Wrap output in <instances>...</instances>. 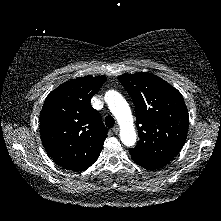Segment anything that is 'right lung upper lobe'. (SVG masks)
<instances>
[{
	"label": "right lung upper lobe",
	"mask_w": 221,
	"mask_h": 221,
	"mask_svg": "<svg viewBox=\"0 0 221 221\" xmlns=\"http://www.w3.org/2000/svg\"><path fill=\"white\" fill-rule=\"evenodd\" d=\"M105 81L104 76L72 79L51 91L43 104L40 113L43 146L65 169H86L100 155L107 129L90 100Z\"/></svg>",
	"instance_id": "cb5924a9"
}]
</instances>
